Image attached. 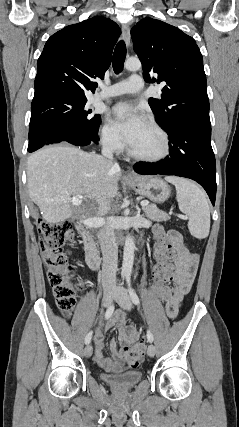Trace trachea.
Masks as SVG:
<instances>
[{
    "label": "trachea",
    "instance_id": "3493384b",
    "mask_svg": "<svg viewBox=\"0 0 239 427\" xmlns=\"http://www.w3.org/2000/svg\"><path fill=\"white\" fill-rule=\"evenodd\" d=\"M126 58V45L123 40L119 41L115 47L113 54V70L119 74L123 70L124 61Z\"/></svg>",
    "mask_w": 239,
    "mask_h": 427
}]
</instances>
